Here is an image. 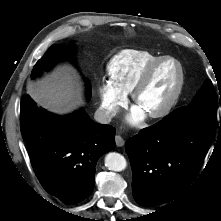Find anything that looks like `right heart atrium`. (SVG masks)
Returning a JSON list of instances; mask_svg holds the SVG:
<instances>
[{"label":"right heart atrium","instance_id":"right-heart-atrium-1","mask_svg":"<svg viewBox=\"0 0 221 221\" xmlns=\"http://www.w3.org/2000/svg\"><path fill=\"white\" fill-rule=\"evenodd\" d=\"M100 107L107 118L118 114L127 101V94L116 88L110 81L103 80L98 86Z\"/></svg>","mask_w":221,"mask_h":221}]
</instances>
